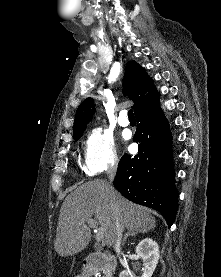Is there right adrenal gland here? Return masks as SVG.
I'll return each mask as SVG.
<instances>
[{
    "label": "right adrenal gland",
    "mask_w": 221,
    "mask_h": 277,
    "mask_svg": "<svg viewBox=\"0 0 221 277\" xmlns=\"http://www.w3.org/2000/svg\"><path fill=\"white\" fill-rule=\"evenodd\" d=\"M136 234H138V232L127 231L124 235V238H123V244H125V242H126V240L129 236H135Z\"/></svg>",
    "instance_id": "2a0ac1e0"
}]
</instances>
